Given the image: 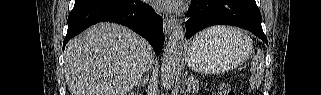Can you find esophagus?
Masks as SVG:
<instances>
[{"instance_id":"esophagus-1","label":"esophagus","mask_w":321,"mask_h":95,"mask_svg":"<svg viewBox=\"0 0 321 95\" xmlns=\"http://www.w3.org/2000/svg\"><path fill=\"white\" fill-rule=\"evenodd\" d=\"M176 27V20L172 17L164 18V31L169 34Z\"/></svg>"}]
</instances>
